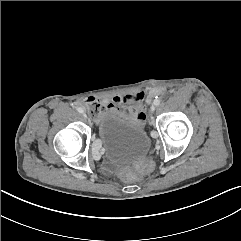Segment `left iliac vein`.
<instances>
[{
  "label": "left iliac vein",
  "instance_id": "obj_1",
  "mask_svg": "<svg viewBox=\"0 0 241 241\" xmlns=\"http://www.w3.org/2000/svg\"><path fill=\"white\" fill-rule=\"evenodd\" d=\"M154 111H155V106L152 105V106L150 107V112L153 113Z\"/></svg>",
  "mask_w": 241,
  "mask_h": 241
}]
</instances>
